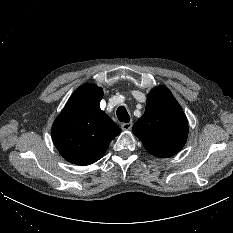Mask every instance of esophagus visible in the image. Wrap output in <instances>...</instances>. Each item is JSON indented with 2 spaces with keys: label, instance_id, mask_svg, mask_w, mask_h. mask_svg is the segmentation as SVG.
Returning a JSON list of instances; mask_svg holds the SVG:
<instances>
[{
  "label": "esophagus",
  "instance_id": "obj_1",
  "mask_svg": "<svg viewBox=\"0 0 233 233\" xmlns=\"http://www.w3.org/2000/svg\"><path fill=\"white\" fill-rule=\"evenodd\" d=\"M122 130H130L132 128V122H125L121 125Z\"/></svg>",
  "mask_w": 233,
  "mask_h": 233
}]
</instances>
